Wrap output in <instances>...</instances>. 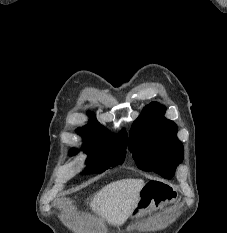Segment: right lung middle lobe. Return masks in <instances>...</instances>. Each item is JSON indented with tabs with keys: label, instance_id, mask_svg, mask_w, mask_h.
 I'll return each mask as SVG.
<instances>
[{
	"label": "right lung middle lobe",
	"instance_id": "obj_1",
	"mask_svg": "<svg viewBox=\"0 0 227 233\" xmlns=\"http://www.w3.org/2000/svg\"><path fill=\"white\" fill-rule=\"evenodd\" d=\"M84 152L88 154L86 160L88 173H102L103 171L123 163L126 149L122 142L116 138H110L98 144L84 145ZM76 154L77 150H72Z\"/></svg>",
	"mask_w": 227,
	"mask_h": 233
}]
</instances>
